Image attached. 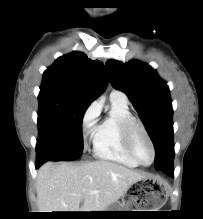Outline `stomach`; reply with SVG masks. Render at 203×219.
I'll return each instance as SVG.
<instances>
[{
	"label": "stomach",
	"mask_w": 203,
	"mask_h": 219,
	"mask_svg": "<svg viewBox=\"0 0 203 219\" xmlns=\"http://www.w3.org/2000/svg\"><path fill=\"white\" fill-rule=\"evenodd\" d=\"M167 200V190L165 186L146 177L136 181L131 185V191L124 194L122 202H115L104 211H158ZM144 210H130L133 208ZM103 216L116 215L113 212H106Z\"/></svg>",
	"instance_id": "0dacf381"
}]
</instances>
